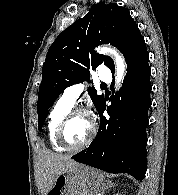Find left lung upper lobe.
Masks as SVG:
<instances>
[{
	"instance_id": "obj_1",
	"label": "left lung upper lobe",
	"mask_w": 178,
	"mask_h": 195,
	"mask_svg": "<svg viewBox=\"0 0 178 195\" xmlns=\"http://www.w3.org/2000/svg\"><path fill=\"white\" fill-rule=\"evenodd\" d=\"M110 43L124 55L127 65L146 52V44L129 10L117 4L100 2L88 14L61 32L50 46L42 70L37 112L42 128L46 112L68 86L89 80V68L99 65L115 71L113 60L93 50ZM98 111L103 95L94 88L88 92Z\"/></svg>"
}]
</instances>
